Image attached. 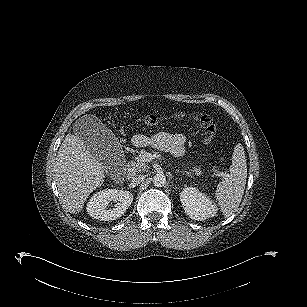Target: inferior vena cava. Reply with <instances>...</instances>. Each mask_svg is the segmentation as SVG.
Wrapping results in <instances>:
<instances>
[{"mask_svg": "<svg viewBox=\"0 0 307 307\" xmlns=\"http://www.w3.org/2000/svg\"><path fill=\"white\" fill-rule=\"evenodd\" d=\"M144 181V177L143 176H138V177H136V178H133V180H132V182L134 183V184H140L141 182H143Z\"/></svg>", "mask_w": 307, "mask_h": 307, "instance_id": "inferior-vena-cava-1", "label": "inferior vena cava"}]
</instances>
